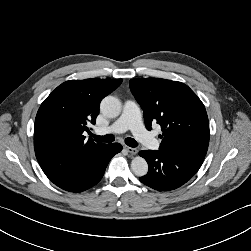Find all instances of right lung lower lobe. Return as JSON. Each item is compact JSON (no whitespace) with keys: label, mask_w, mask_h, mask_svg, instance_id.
<instances>
[{"label":"right lung lower lobe","mask_w":251,"mask_h":251,"mask_svg":"<svg viewBox=\"0 0 251 251\" xmlns=\"http://www.w3.org/2000/svg\"><path fill=\"white\" fill-rule=\"evenodd\" d=\"M121 150L122 146L118 143L106 144L77 160L40 166L56 186L69 192H82L101 180L109 161Z\"/></svg>","instance_id":"1"}]
</instances>
